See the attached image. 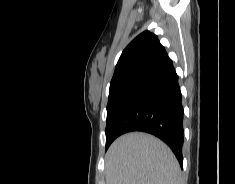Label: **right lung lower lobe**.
<instances>
[{"label":"right lung lower lobe","instance_id":"98d812e1","mask_svg":"<svg viewBox=\"0 0 235 184\" xmlns=\"http://www.w3.org/2000/svg\"><path fill=\"white\" fill-rule=\"evenodd\" d=\"M110 130L116 138L132 131L147 132L160 138L183 167L182 96L169 57L127 91L113 116Z\"/></svg>","mask_w":235,"mask_h":184}]
</instances>
